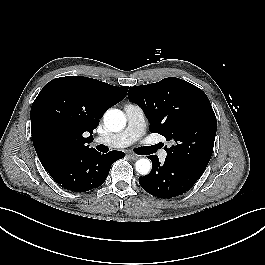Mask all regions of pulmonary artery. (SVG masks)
<instances>
[{
  "label": "pulmonary artery",
  "mask_w": 265,
  "mask_h": 265,
  "mask_svg": "<svg viewBox=\"0 0 265 265\" xmlns=\"http://www.w3.org/2000/svg\"><path fill=\"white\" fill-rule=\"evenodd\" d=\"M127 118L126 128L116 134L96 138V142L103 143L114 148H124L137 141L145 130V115L138 105L128 103L124 107ZM167 156L165 150L159 152V158L164 160Z\"/></svg>",
  "instance_id": "e3ab8cb5"
}]
</instances>
